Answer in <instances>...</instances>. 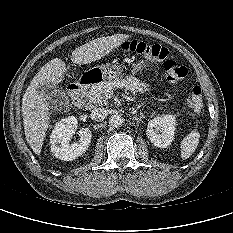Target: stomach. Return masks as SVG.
I'll use <instances>...</instances> for the list:
<instances>
[{
  "label": "stomach",
  "instance_id": "obj_1",
  "mask_svg": "<svg viewBox=\"0 0 233 233\" xmlns=\"http://www.w3.org/2000/svg\"><path fill=\"white\" fill-rule=\"evenodd\" d=\"M148 64L145 61H139L133 64V73L143 70ZM87 76L93 77V82H111L120 81L124 78L123 69L116 64L106 63L101 66L92 68L86 73Z\"/></svg>",
  "mask_w": 233,
  "mask_h": 233
}]
</instances>
